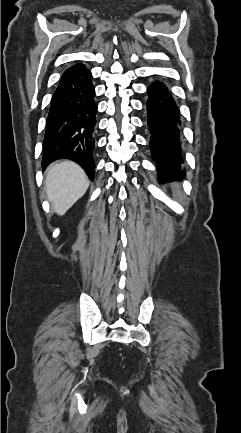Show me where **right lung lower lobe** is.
Segmentation results:
<instances>
[{"instance_id":"right-lung-lower-lobe-1","label":"right lung lower lobe","mask_w":241,"mask_h":433,"mask_svg":"<svg viewBox=\"0 0 241 433\" xmlns=\"http://www.w3.org/2000/svg\"><path fill=\"white\" fill-rule=\"evenodd\" d=\"M91 72L76 64L64 72L52 96L43 142V165L68 158L95 175L93 150L97 104Z\"/></svg>"}]
</instances>
